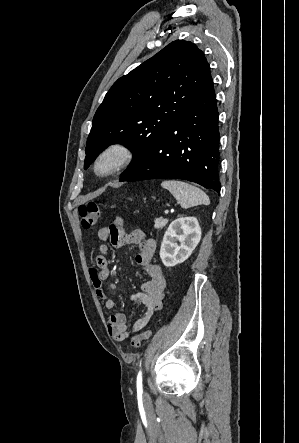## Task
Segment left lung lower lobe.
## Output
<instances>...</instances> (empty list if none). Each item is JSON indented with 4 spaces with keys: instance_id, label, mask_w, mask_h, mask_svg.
Here are the masks:
<instances>
[{
    "instance_id": "0a47b994",
    "label": "left lung lower lobe",
    "mask_w": 299,
    "mask_h": 443,
    "mask_svg": "<svg viewBox=\"0 0 299 443\" xmlns=\"http://www.w3.org/2000/svg\"><path fill=\"white\" fill-rule=\"evenodd\" d=\"M218 109L213 81L120 181L177 178L220 193Z\"/></svg>"
}]
</instances>
